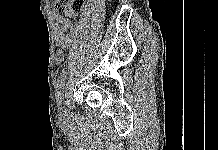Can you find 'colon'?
<instances>
[{
  "instance_id": "colon-1",
  "label": "colon",
  "mask_w": 218,
  "mask_h": 150,
  "mask_svg": "<svg viewBox=\"0 0 218 150\" xmlns=\"http://www.w3.org/2000/svg\"><path fill=\"white\" fill-rule=\"evenodd\" d=\"M85 0H55L54 8L57 12L71 18L82 8Z\"/></svg>"
}]
</instances>
